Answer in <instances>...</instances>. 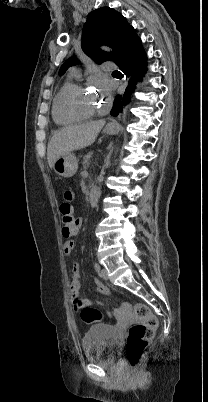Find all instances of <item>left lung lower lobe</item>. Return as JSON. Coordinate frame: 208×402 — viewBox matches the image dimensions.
I'll return each instance as SVG.
<instances>
[{
    "instance_id": "obj_1",
    "label": "left lung lower lobe",
    "mask_w": 208,
    "mask_h": 402,
    "mask_svg": "<svg viewBox=\"0 0 208 402\" xmlns=\"http://www.w3.org/2000/svg\"><path fill=\"white\" fill-rule=\"evenodd\" d=\"M147 56L142 47V42L131 26L123 41V44L114 59V62L128 77V85L124 95H117L114 100L113 108L110 112L112 116H118L122 110V105L129 103V98L134 92L136 83L141 81L143 74L147 70Z\"/></svg>"
}]
</instances>
